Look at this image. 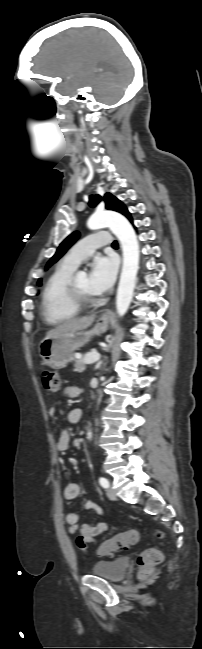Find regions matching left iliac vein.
<instances>
[{"instance_id":"obj_1","label":"left iliac vein","mask_w":202,"mask_h":649,"mask_svg":"<svg viewBox=\"0 0 202 649\" xmlns=\"http://www.w3.org/2000/svg\"><path fill=\"white\" fill-rule=\"evenodd\" d=\"M106 493H107V496H108L109 499H111V500H116L117 499L116 493L114 492L113 489L108 488Z\"/></svg>"}]
</instances>
